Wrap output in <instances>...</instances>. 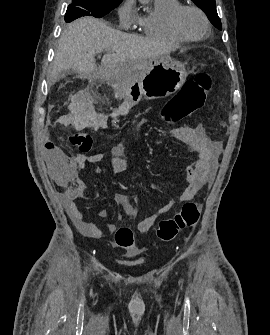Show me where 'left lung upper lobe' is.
Listing matches in <instances>:
<instances>
[{"mask_svg": "<svg viewBox=\"0 0 270 335\" xmlns=\"http://www.w3.org/2000/svg\"><path fill=\"white\" fill-rule=\"evenodd\" d=\"M193 1L199 8H201L206 13L210 22L217 29L222 30L221 21L216 11L215 0H193Z\"/></svg>", "mask_w": 270, "mask_h": 335, "instance_id": "left-lung-upper-lobe-1", "label": "left lung upper lobe"}]
</instances>
